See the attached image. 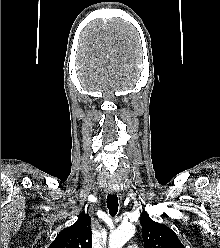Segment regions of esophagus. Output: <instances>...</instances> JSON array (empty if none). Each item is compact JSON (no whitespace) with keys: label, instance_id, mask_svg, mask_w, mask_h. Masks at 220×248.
Returning <instances> with one entry per match:
<instances>
[{"label":"esophagus","instance_id":"1","mask_svg":"<svg viewBox=\"0 0 220 248\" xmlns=\"http://www.w3.org/2000/svg\"><path fill=\"white\" fill-rule=\"evenodd\" d=\"M108 191L110 193H117L119 191V187L116 184H109Z\"/></svg>","mask_w":220,"mask_h":248}]
</instances>
